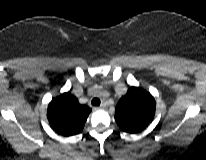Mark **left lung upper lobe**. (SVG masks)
I'll return each mask as SVG.
<instances>
[{
	"label": "left lung upper lobe",
	"instance_id": "5c2ea615",
	"mask_svg": "<svg viewBox=\"0 0 206 160\" xmlns=\"http://www.w3.org/2000/svg\"><path fill=\"white\" fill-rule=\"evenodd\" d=\"M156 110L154 97L139 87H130L115 109V121L127 133L143 131L153 120Z\"/></svg>",
	"mask_w": 206,
	"mask_h": 160
}]
</instances>
